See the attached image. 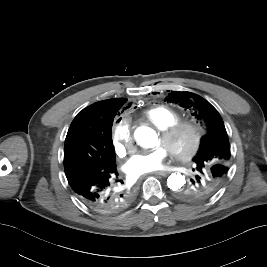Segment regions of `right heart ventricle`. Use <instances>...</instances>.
Returning <instances> with one entry per match:
<instances>
[{
    "label": "right heart ventricle",
    "mask_w": 267,
    "mask_h": 267,
    "mask_svg": "<svg viewBox=\"0 0 267 267\" xmlns=\"http://www.w3.org/2000/svg\"><path fill=\"white\" fill-rule=\"evenodd\" d=\"M143 118L161 130L180 120L181 114L175 109L161 105L146 110Z\"/></svg>",
    "instance_id": "obj_1"
}]
</instances>
